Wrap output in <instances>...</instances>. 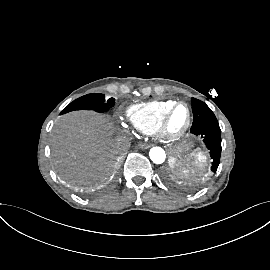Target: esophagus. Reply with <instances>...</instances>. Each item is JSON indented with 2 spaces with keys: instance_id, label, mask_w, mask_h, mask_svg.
Returning <instances> with one entry per match:
<instances>
[{
  "instance_id": "34e87169",
  "label": "esophagus",
  "mask_w": 270,
  "mask_h": 270,
  "mask_svg": "<svg viewBox=\"0 0 270 270\" xmlns=\"http://www.w3.org/2000/svg\"><path fill=\"white\" fill-rule=\"evenodd\" d=\"M139 147H140L141 149H148V148L151 147V144H148V143H141V144L139 145Z\"/></svg>"
}]
</instances>
